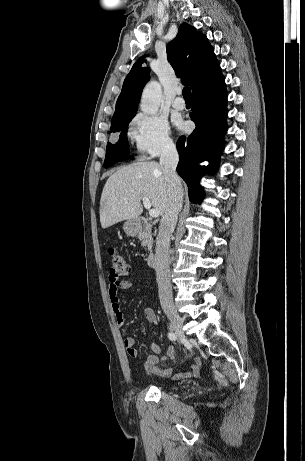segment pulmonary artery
Masks as SVG:
<instances>
[{
    "label": "pulmonary artery",
    "instance_id": "obj_1",
    "mask_svg": "<svg viewBox=\"0 0 305 461\" xmlns=\"http://www.w3.org/2000/svg\"><path fill=\"white\" fill-rule=\"evenodd\" d=\"M180 95L181 91L179 90L177 91V97L174 99L172 103L173 108H175L176 110H183L186 107V103Z\"/></svg>",
    "mask_w": 305,
    "mask_h": 461
}]
</instances>
